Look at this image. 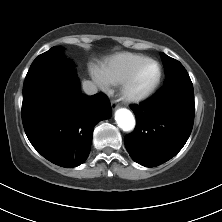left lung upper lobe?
I'll list each match as a JSON object with an SVG mask.
<instances>
[{
    "instance_id": "1",
    "label": "left lung upper lobe",
    "mask_w": 222,
    "mask_h": 222,
    "mask_svg": "<svg viewBox=\"0 0 222 222\" xmlns=\"http://www.w3.org/2000/svg\"><path fill=\"white\" fill-rule=\"evenodd\" d=\"M161 57L166 73L165 84L191 81L186 69L179 61L164 53H161Z\"/></svg>"
}]
</instances>
